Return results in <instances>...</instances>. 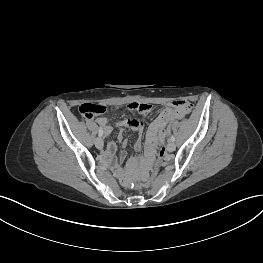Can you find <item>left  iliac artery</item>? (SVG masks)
Wrapping results in <instances>:
<instances>
[{"mask_svg": "<svg viewBox=\"0 0 263 263\" xmlns=\"http://www.w3.org/2000/svg\"><path fill=\"white\" fill-rule=\"evenodd\" d=\"M170 140L174 142V141H175V137L172 135V136L170 137Z\"/></svg>", "mask_w": 263, "mask_h": 263, "instance_id": "left-iliac-artery-1", "label": "left iliac artery"}]
</instances>
